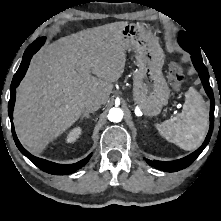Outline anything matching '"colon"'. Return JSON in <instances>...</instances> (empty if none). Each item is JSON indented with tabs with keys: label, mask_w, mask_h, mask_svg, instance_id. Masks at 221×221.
I'll list each match as a JSON object with an SVG mask.
<instances>
[{
	"label": "colon",
	"mask_w": 221,
	"mask_h": 221,
	"mask_svg": "<svg viewBox=\"0 0 221 221\" xmlns=\"http://www.w3.org/2000/svg\"><path fill=\"white\" fill-rule=\"evenodd\" d=\"M168 79L172 87L179 89L184 81V69L177 63L173 62L169 66Z\"/></svg>",
	"instance_id": "1"
}]
</instances>
